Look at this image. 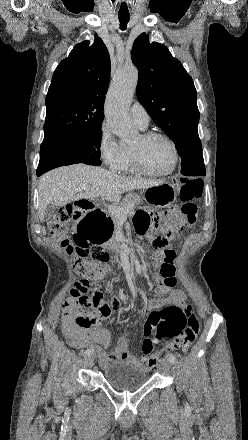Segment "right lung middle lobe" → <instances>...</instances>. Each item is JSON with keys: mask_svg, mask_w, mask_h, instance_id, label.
Wrapping results in <instances>:
<instances>
[{"mask_svg": "<svg viewBox=\"0 0 248 440\" xmlns=\"http://www.w3.org/2000/svg\"><path fill=\"white\" fill-rule=\"evenodd\" d=\"M101 138V126L74 134L44 138L37 174L75 163L101 165L99 149Z\"/></svg>", "mask_w": 248, "mask_h": 440, "instance_id": "right-lung-middle-lobe-1", "label": "right lung middle lobe"}]
</instances>
